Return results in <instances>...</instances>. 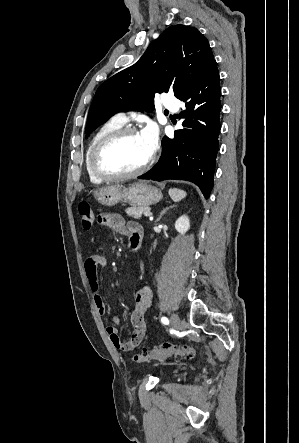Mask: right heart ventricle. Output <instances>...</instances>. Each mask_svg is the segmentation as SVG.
I'll list each match as a JSON object with an SVG mask.
<instances>
[{
	"label": "right heart ventricle",
	"instance_id": "e07e8e85",
	"mask_svg": "<svg viewBox=\"0 0 299 443\" xmlns=\"http://www.w3.org/2000/svg\"><path fill=\"white\" fill-rule=\"evenodd\" d=\"M122 126H123V124L119 123L114 118H112V119L108 120L107 122H105L104 124H102L98 128V130L93 134V136L91 137V139L87 145L86 152H85V168H86L88 177L92 183H101L103 181L102 179L97 177L91 169L90 158H91V152H92L94 146L105 135H107L108 133H110L116 129L121 128Z\"/></svg>",
	"mask_w": 299,
	"mask_h": 443
}]
</instances>
